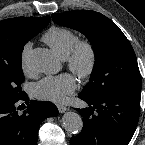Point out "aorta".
<instances>
[{"label":"aorta","mask_w":145,"mask_h":145,"mask_svg":"<svg viewBox=\"0 0 145 145\" xmlns=\"http://www.w3.org/2000/svg\"><path fill=\"white\" fill-rule=\"evenodd\" d=\"M28 61L36 70L44 73L54 71L57 64L52 53L43 48L34 49L30 53ZM63 126L68 133L78 134L83 128V120L76 112H66L63 116Z\"/></svg>","instance_id":"1"}]
</instances>
